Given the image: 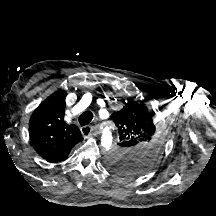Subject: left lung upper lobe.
<instances>
[{
  "label": "left lung upper lobe",
  "mask_w": 216,
  "mask_h": 216,
  "mask_svg": "<svg viewBox=\"0 0 216 216\" xmlns=\"http://www.w3.org/2000/svg\"><path fill=\"white\" fill-rule=\"evenodd\" d=\"M110 119L119 133L118 147L107 160L113 173L136 177L158 164L164 152L163 131L144 103L128 102Z\"/></svg>",
  "instance_id": "5c2ea615"
}]
</instances>
